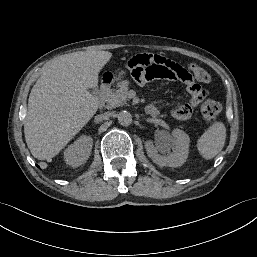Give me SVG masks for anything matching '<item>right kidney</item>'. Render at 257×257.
Masks as SVG:
<instances>
[{"instance_id":"ca27d5eb","label":"right kidney","mask_w":257,"mask_h":257,"mask_svg":"<svg viewBox=\"0 0 257 257\" xmlns=\"http://www.w3.org/2000/svg\"><path fill=\"white\" fill-rule=\"evenodd\" d=\"M92 146L93 140L90 136H81L65 150L64 159L66 163L73 167L82 165L88 160Z\"/></svg>"}]
</instances>
